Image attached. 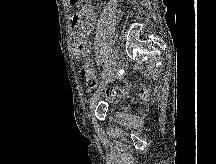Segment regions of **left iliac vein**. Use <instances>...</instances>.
<instances>
[{
  "instance_id": "4c4485c4",
  "label": "left iliac vein",
  "mask_w": 216,
  "mask_h": 164,
  "mask_svg": "<svg viewBox=\"0 0 216 164\" xmlns=\"http://www.w3.org/2000/svg\"><path fill=\"white\" fill-rule=\"evenodd\" d=\"M119 59V51L118 48H115L114 53H113V61L111 63L112 69L107 70V74H105L100 82L98 90L93 94L90 102V114L93 112L96 102L98 101L100 97L101 91L106 87V85L112 80L118 69L122 68V62L118 61Z\"/></svg>"
}]
</instances>
